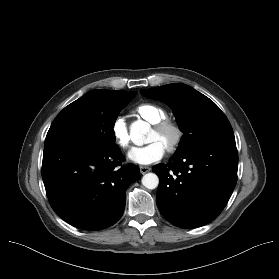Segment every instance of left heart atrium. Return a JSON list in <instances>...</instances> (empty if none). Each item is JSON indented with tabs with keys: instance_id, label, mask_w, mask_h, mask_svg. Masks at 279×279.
Segmentation results:
<instances>
[{
	"instance_id": "left-heart-atrium-1",
	"label": "left heart atrium",
	"mask_w": 279,
	"mask_h": 279,
	"mask_svg": "<svg viewBox=\"0 0 279 279\" xmlns=\"http://www.w3.org/2000/svg\"><path fill=\"white\" fill-rule=\"evenodd\" d=\"M165 147L158 141H152L143 147L129 152V158L139 164H151L159 161L165 154Z\"/></svg>"
}]
</instances>
